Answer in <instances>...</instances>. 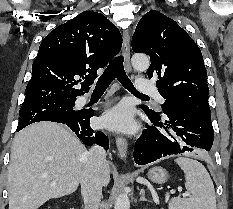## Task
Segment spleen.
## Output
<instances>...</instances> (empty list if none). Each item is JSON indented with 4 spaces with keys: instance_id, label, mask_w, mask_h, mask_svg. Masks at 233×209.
Masks as SVG:
<instances>
[{
    "instance_id": "spleen-1",
    "label": "spleen",
    "mask_w": 233,
    "mask_h": 209,
    "mask_svg": "<svg viewBox=\"0 0 233 209\" xmlns=\"http://www.w3.org/2000/svg\"><path fill=\"white\" fill-rule=\"evenodd\" d=\"M175 162L185 174L188 198L174 197L169 209H216L214 185L206 168L197 160L178 157Z\"/></svg>"
}]
</instances>
